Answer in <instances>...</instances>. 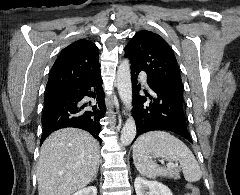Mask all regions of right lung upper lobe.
<instances>
[{"mask_svg":"<svg viewBox=\"0 0 240 195\" xmlns=\"http://www.w3.org/2000/svg\"><path fill=\"white\" fill-rule=\"evenodd\" d=\"M98 48L88 40L67 46L55 61L46 90L76 86L100 76Z\"/></svg>","mask_w":240,"mask_h":195,"instance_id":"1","label":"right lung upper lobe"}]
</instances>
